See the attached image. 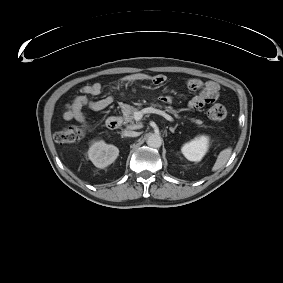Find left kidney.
I'll use <instances>...</instances> for the list:
<instances>
[{
  "label": "left kidney",
  "instance_id": "left-kidney-1",
  "mask_svg": "<svg viewBox=\"0 0 283 283\" xmlns=\"http://www.w3.org/2000/svg\"><path fill=\"white\" fill-rule=\"evenodd\" d=\"M208 146L209 138L202 135L196 137L191 142L185 143L181 148V152L188 160L199 162L206 154Z\"/></svg>",
  "mask_w": 283,
  "mask_h": 283
}]
</instances>
